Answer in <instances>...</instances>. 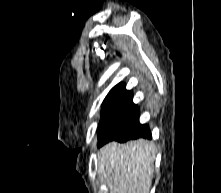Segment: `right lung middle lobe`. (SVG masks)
<instances>
[{
	"label": "right lung middle lobe",
	"mask_w": 221,
	"mask_h": 193,
	"mask_svg": "<svg viewBox=\"0 0 221 193\" xmlns=\"http://www.w3.org/2000/svg\"><path fill=\"white\" fill-rule=\"evenodd\" d=\"M140 126L139 109L132 102L103 109L97 129L98 147Z\"/></svg>",
	"instance_id": "obj_1"
}]
</instances>
